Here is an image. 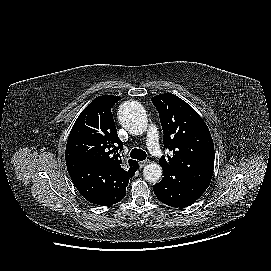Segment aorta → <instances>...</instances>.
Segmentation results:
<instances>
[{"mask_svg":"<svg viewBox=\"0 0 271 271\" xmlns=\"http://www.w3.org/2000/svg\"><path fill=\"white\" fill-rule=\"evenodd\" d=\"M118 120L128 132L134 135H141L148 125L145 110L135 101H126L120 105ZM143 176L146 181L155 183L162 176V168L157 163H149L143 169Z\"/></svg>","mask_w":271,"mask_h":271,"instance_id":"762f6f07","label":"aorta"}]
</instances>
